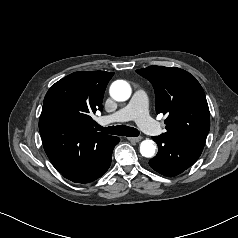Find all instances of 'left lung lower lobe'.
<instances>
[{
	"instance_id": "obj_1",
	"label": "left lung lower lobe",
	"mask_w": 238,
	"mask_h": 238,
	"mask_svg": "<svg viewBox=\"0 0 238 238\" xmlns=\"http://www.w3.org/2000/svg\"><path fill=\"white\" fill-rule=\"evenodd\" d=\"M158 144L157 155L149 165L164 176H176L196 162L203 148L160 136L152 137Z\"/></svg>"
}]
</instances>
